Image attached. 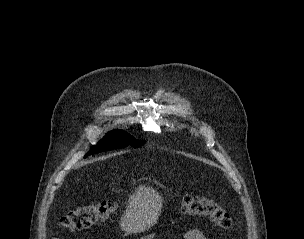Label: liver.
<instances>
[{
    "label": "liver",
    "mask_w": 304,
    "mask_h": 239,
    "mask_svg": "<svg viewBox=\"0 0 304 239\" xmlns=\"http://www.w3.org/2000/svg\"><path fill=\"white\" fill-rule=\"evenodd\" d=\"M163 197L150 186L140 185L130 196L128 207L121 217V229L140 233L151 228L161 214Z\"/></svg>",
    "instance_id": "liver-1"
}]
</instances>
